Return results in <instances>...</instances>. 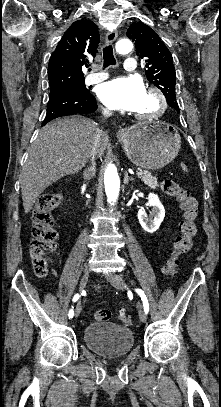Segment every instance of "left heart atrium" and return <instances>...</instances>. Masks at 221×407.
<instances>
[{
	"mask_svg": "<svg viewBox=\"0 0 221 407\" xmlns=\"http://www.w3.org/2000/svg\"><path fill=\"white\" fill-rule=\"evenodd\" d=\"M146 90L138 77L123 76L103 83L99 87V98L109 108L136 111L141 105Z\"/></svg>",
	"mask_w": 221,
	"mask_h": 407,
	"instance_id": "left-heart-atrium-1",
	"label": "left heart atrium"
}]
</instances>
